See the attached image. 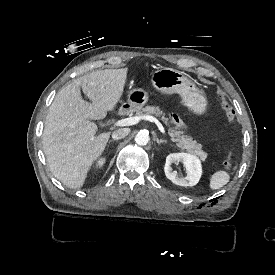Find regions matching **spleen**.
<instances>
[{
  "mask_svg": "<svg viewBox=\"0 0 275 275\" xmlns=\"http://www.w3.org/2000/svg\"><path fill=\"white\" fill-rule=\"evenodd\" d=\"M231 175L227 170H217L209 177L208 187L211 190H218L229 183Z\"/></svg>",
  "mask_w": 275,
  "mask_h": 275,
  "instance_id": "spleen-1",
  "label": "spleen"
}]
</instances>
